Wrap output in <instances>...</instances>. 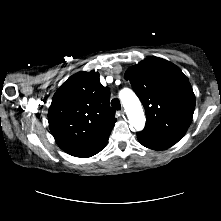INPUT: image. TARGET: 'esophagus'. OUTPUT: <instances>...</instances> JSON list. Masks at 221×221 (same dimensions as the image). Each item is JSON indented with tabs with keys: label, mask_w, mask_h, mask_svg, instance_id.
Listing matches in <instances>:
<instances>
[{
	"label": "esophagus",
	"mask_w": 221,
	"mask_h": 221,
	"mask_svg": "<svg viewBox=\"0 0 221 221\" xmlns=\"http://www.w3.org/2000/svg\"><path fill=\"white\" fill-rule=\"evenodd\" d=\"M119 113L123 116L125 114V111L122 109Z\"/></svg>",
	"instance_id": "34e87169"
}]
</instances>
